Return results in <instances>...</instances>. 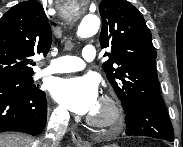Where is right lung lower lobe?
<instances>
[{"mask_svg": "<svg viewBox=\"0 0 183 147\" xmlns=\"http://www.w3.org/2000/svg\"><path fill=\"white\" fill-rule=\"evenodd\" d=\"M47 117V101L41 90L0 93V132L40 134Z\"/></svg>", "mask_w": 183, "mask_h": 147, "instance_id": "obj_1", "label": "right lung lower lobe"}]
</instances>
